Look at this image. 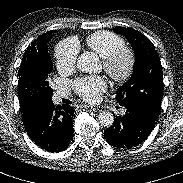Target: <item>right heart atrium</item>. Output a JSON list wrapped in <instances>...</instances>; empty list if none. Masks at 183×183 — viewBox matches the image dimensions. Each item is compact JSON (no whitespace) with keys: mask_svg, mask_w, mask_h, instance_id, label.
Here are the masks:
<instances>
[{"mask_svg":"<svg viewBox=\"0 0 183 183\" xmlns=\"http://www.w3.org/2000/svg\"><path fill=\"white\" fill-rule=\"evenodd\" d=\"M79 48L77 43L72 39H65L61 41L56 49V65L62 71H70L74 68L78 57Z\"/></svg>","mask_w":183,"mask_h":183,"instance_id":"1","label":"right heart atrium"}]
</instances>
